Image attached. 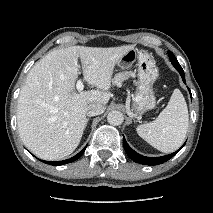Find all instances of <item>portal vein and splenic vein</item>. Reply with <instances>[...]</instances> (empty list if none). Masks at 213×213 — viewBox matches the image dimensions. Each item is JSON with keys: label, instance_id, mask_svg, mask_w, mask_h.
I'll return each instance as SVG.
<instances>
[{"label": "portal vein and splenic vein", "instance_id": "18ae733b", "mask_svg": "<svg viewBox=\"0 0 213 213\" xmlns=\"http://www.w3.org/2000/svg\"><path fill=\"white\" fill-rule=\"evenodd\" d=\"M76 88H77L78 91H82L83 90L84 84H83L82 80L79 79L77 81Z\"/></svg>", "mask_w": 213, "mask_h": 213}]
</instances>
